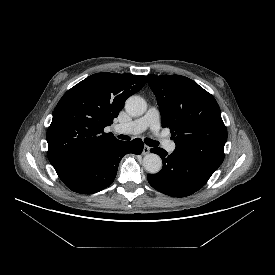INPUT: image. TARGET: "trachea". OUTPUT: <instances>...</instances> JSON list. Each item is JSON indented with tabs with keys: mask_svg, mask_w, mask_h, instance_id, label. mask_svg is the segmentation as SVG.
<instances>
[{
	"mask_svg": "<svg viewBox=\"0 0 275 275\" xmlns=\"http://www.w3.org/2000/svg\"><path fill=\"white\" fill-rule=\"evenodd\" d=\"M119 139H122V140H130V137L128 135H119L118 136ZM144 142L148 145V146H151V147H156L159 145V142L155 141V140H152V139H149V138H145L144 139Z\"/></svg>",
	"mask_w": 275,
	"mask_h": 275,
	"instance_id": "3493384b",
	"label": "trachea"
}]
</instances>
